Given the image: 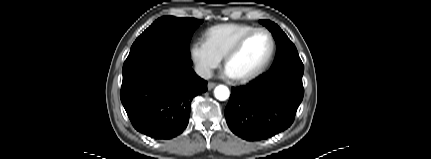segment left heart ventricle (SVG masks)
I'll return each mask as SVG.
<instances>
[{
    "mask_svg": "<svg viewBox=\"0 0 431 159\" xmlns=\"http://www.w3.org/2000/svg\"><path fill=\"white\" fill-rule=\"evenodd\" d=\"M271 51V40L265 33H257L245 44L241 52L228 64L234 77H242L258 70L267 60Z\"/></svg>",
    "mask_w": 431,
    "mask_h": 159,
    "instance_id": "b2bd125f",
    "label": "left heart ventricle"
}]
</instances>
